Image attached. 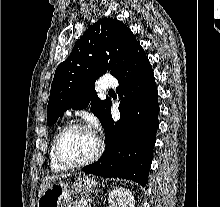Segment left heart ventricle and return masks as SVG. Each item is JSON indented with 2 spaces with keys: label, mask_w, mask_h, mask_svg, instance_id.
Wrapping results in <instances>:
<instances>
[{
  "label": "left heart ventricle",
  "mask_w": 220,
  "mask_h": 207,
  "mask_svg": "<svg viewBox=\"0 0 220 207\" xmlns=\"http://www.w3.org/2000/svg\"><path fill=\"white\" fill-rule=\"evenodd\" d=\"M60 154L70 163L81 162L93 155L97 148L94 134L87 130H72L60 141Z\"/></svg>",
  "instance_id": "left-heart-ventricle-1"
}]
</instances>
